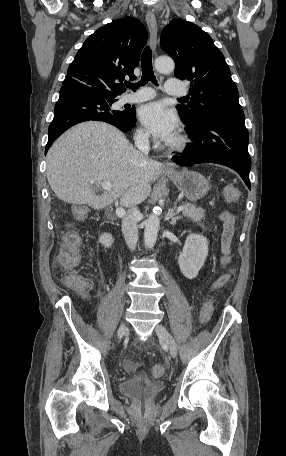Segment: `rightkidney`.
I'll list each match as a JSON object with an SVG mask.
<instances>
[{
	"label": "right kidney",
	"mask_w": 286,
	"mask_h": 456,
	"mask_svg": "<svg viewBox=\"0 0 286 456\" xmlns=\"http://www.w3.org/2000/svg\"><path fill=\"white\" fill-rule=\"evenodd\" d=\"M99 242L104 246V247H111L113 242H114V239L112 237L111 234H108V233H103L100 238H99Z\"/></svg>",
	"instance_id": "ca27d5eb"
}]
</instances>
